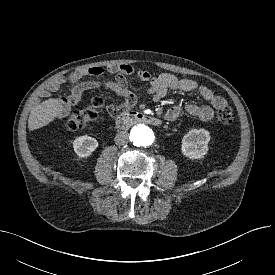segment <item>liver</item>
Listing matches in <instances>:
<instances>
[{"instance_id": "liver-1", "label": "liver", "mask_w": 275, "mask_h": 275, "mask_svg": "<svg viewBox=\"0 0 275 275\" xmlns=\"http://www.w3.org/2000/svg\"><path fill=\"white\" fill-rule=\"evenodd\" d=\"M63 101L61 99H49L37 105L29 115L28 128L36 130L48 125L63 111Z\"/></svg>"}]
</instances>
